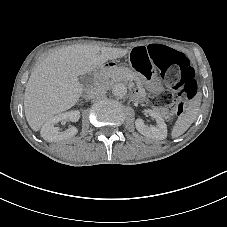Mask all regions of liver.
Wrapping results in <instances>:
<instances>
[{"mask_svg": "<svg viewBox=\"0 0 227 227\" xmlns=\"http://www.w3.org/2000/svg\"><path fill=\"white\" fill-rule=\"evenodd\" d=\"M128 52L122 48L75 44L39 59L24 93V112L30 128L39 131L48 119L79 101L85 89L79 76L104 72L108 69L104 68L107 61L124 57ZM87 96L90 97L89 92Z\"/></svg>", "mask_w": 227, "mask_h": 227, "instance_id": "obj_1", "label": "liver"}]
</instances>
